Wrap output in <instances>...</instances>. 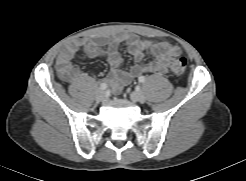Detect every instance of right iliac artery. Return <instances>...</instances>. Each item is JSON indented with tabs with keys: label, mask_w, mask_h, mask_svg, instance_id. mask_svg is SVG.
<instances>
[{
	"label": "right iliac artery",
	"mask_w": 246,
	"mask_h": 181,
	"mask_svg": "<svg viewBox=\"0 0 246 181\" xmlns=\"http://www.w3.org/2000/svg\"><path fill=\"white\" fill-rule=\"evenodd\" d=\"M107 88V84L105 82H102L100 84V89L105 90Z\"/></svg>",
	"instance_id": "82829eb1"
}]
</instances>
